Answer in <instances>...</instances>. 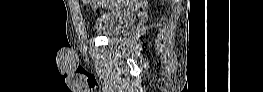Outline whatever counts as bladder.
<instances>
[{"label":"bladder","instance_id":"bladder-1","mask_svg":"<svg viewBox=\"0 0 263 92\" xmlns=\"http://www.w3.org/2000/svg\"><path fill=\"white\" fill-rule=\"evenodd\" d=\"M135 17L133 10L117 7L103 14L95 30L106 37H116L134 23Z\"/></svg>","mask_w":263,"mask_h":92}]
</instances>
